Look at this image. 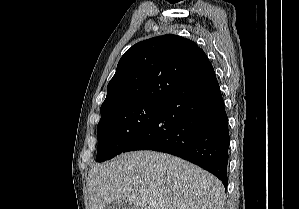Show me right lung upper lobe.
Returning a JSON list of instances; mask_svg holds the SVG:
<instances>
[{"label": "right lung upper lobe", "instance_id": "right-lung-upper-lobe-1", "mask_svg": "<svg viewBox=\"0 0 299 209\" xmlns=\"http://www.w3.org/2000/svg\"><path fill=\"white\" fill-rule=\"evenodd\" d=\"M211 70L204 51L189 39L169 34L139 42L121 57L100 110L165 102L184 82Z\"/></svg>", "mask_w": 299, "mask_h": 209}]
</instances>
